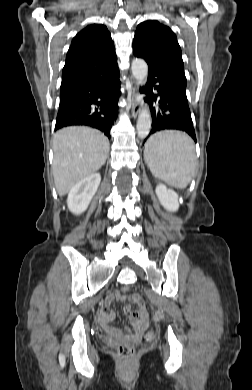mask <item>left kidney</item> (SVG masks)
<instances>
[{
    "instance_id": "left-kidney-1",
    "label": "left kidney",
    "mask_w": 252,
    "mask_h": 390,
    "mask_svg": "<svg viewBox=\"0 0 252 390\" xmlns=\"http://www.w3.org/2000/svg\"><path fill=\"white\" fill-rule=\"evenodd\" d=\"M156 194L162 206L168 211L175 212L179 208L178 195L168 189L165 185L159 184L156 187Z\"/></svg>"
}]
</instances>
